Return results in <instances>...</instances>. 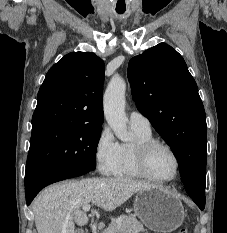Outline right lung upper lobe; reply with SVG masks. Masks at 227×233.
Returning a JSON list of instances; mask_svg holds the SVG:
<instances>
[{
  "label": "right lung upper lobe",
  "mask_w": 227,
  "mask_h": 233,
  "mask_svg": "<svg viewBox=\"0 0 227 233\" xmlns=\"http://www.w3.org/2000/svg\"><path fill=\"white\" fill-rule=\"evenodd\" d=\"M104 62L92 52L65 55L48 71L37 96L32 133L103 123Z\"/></svg>",
  "instance_id": "right-lung-upper-lobe-1"
}]
</instances>
